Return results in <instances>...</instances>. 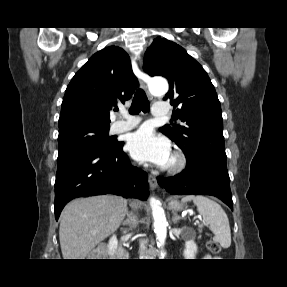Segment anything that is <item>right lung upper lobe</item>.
<instances>
[{
  "label": "right lung upper lobe",
  "instance_id": "obj_1",
  "mask_svg": "<svg viewBox=\"0 0 287 287\" xmlns=\"http://www.w3.org/2000/svg\"><path fill=\"white\" fill-rule=\"evenodd\" d=\"M139 86L127 53L106 47L95 53L67 86L59 127L76 122L109 125L110 110L130 99Z\"/></svg>",
  "mask_w": 287,
  "mask_h": 287
}]
</instances>
